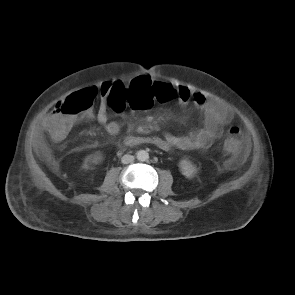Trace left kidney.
Returning <instances> with one entry per match:
<instances>
[{
    "instance_id": "1",
    "label": "left kidney",
    "mask_w": 295,
    "mask_h": 295,
    "mask_svg": "<svg viewBox=\"0 0 295 295\" xmlns=\"http://www.w3.org/2000/svg\"><path fill=\"white\" fill-rule=\"evenodd\" d=\"M179 168L181 173L186 177V178H192L196 174L197 170L196 167L187 159H182L179 162Z\"/></svg>"
}]
</instances>
